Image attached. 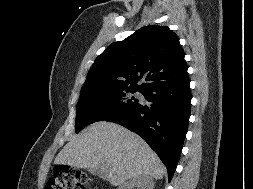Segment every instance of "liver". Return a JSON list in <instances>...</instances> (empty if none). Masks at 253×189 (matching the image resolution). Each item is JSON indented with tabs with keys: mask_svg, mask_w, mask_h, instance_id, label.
Wrapping results in <instances>:
<instances>
[{
	"mask_svg": "<svg viewBox=\"0 0 253 189\" xmlns=\"http://www.w3.org/2000/svg\"><path fill=\"white\" fill-rule=\"evenodd\" d=\"M55 164L101 169L111 185L120 186L136 176L162 179L165 167L137 134L111 122L90 125L59 152Z\"/></svg>",
	"mask_w": 253,
	"mask_h": 189,
	"instance_id": "6515ba94",
	"label": "liver"
}]
</instances>
